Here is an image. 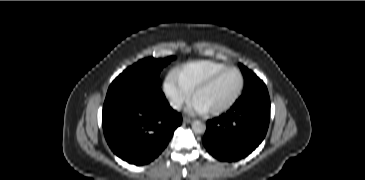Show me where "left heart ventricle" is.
Masks as SVG:
<instances>
[{"label":"left heart ventricle","instance_id":"b2bd125f","mask_svg":"<svg viewBox=\"0 0 365 180\" xmlns=\"http://www.w3.org/2000/svg\"><path fill=\"white\" fill-rule=\"evenodd\" d=\"M239 85V74L236 71H228L199 92L194 101L205 111L215 109L228 103L236 94Z\"/></svg>","mask_w":365,"mask_h":180}]
</instances>
